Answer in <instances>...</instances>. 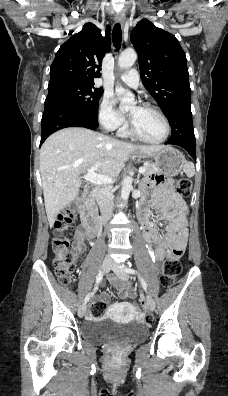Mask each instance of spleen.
<instances>
[{"label": "spleen", "instance_id": "obj_1", "mask_svg": "<svg viewBox=\"0 0 228 396\" xmlns=\"http://www.w3.org/2000/svg\"><path fill=\"white\" fill-rule=\"evenodd\" d=\"M183 171L187 175V177H193L195 174L194 164L192 162H186L183 166Z\"/></svg>", "mask_w": 228, "mask_h": 396}]
</instances>
